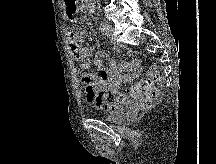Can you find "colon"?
Returning a JSON list of instances; mask_svg holds the SVG:
<instances>
[{"instance_id": "colon-1", "label": "colon", "mask_w": 216, "mask_h": 164, "mask_svg": "<svg viewBox=\"0 0 216 164\" xmlns=\"http://www.w3.org/2000/svg\"><path fill=\"white\" fill-rule=\"evenodd\" d=\"M163 85L161 68L154 64L148 70V75L139 79L116 96H107V100L116 104H127L137 99L142 110H148L158 98L159 90Z\"/></svg>"}]
</instances>
